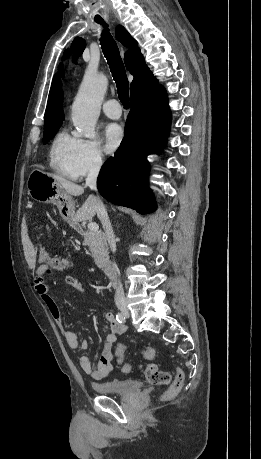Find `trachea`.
I'll use <instances>...</instances> for the list:
<instances>
[{
	"instance_id": "obj_1",
	"label": "trachea",
	"mask_w": 261,
	"mask_h": 459,
	"mask_svg": "<svg viewBox=\"0 0 261 459\" xmlns=\"http://www.w3.org/2000/svg\"><path fill=\"white\" fill-rule=\"evenodd\" d=\"M96 22L105 26V31L100 38L101 48L117 84L119 99L124 105V108L128 109L129 82L117 43L109 33L108 25L103 20H96Z\"/></svg>"
}]
</instances>
